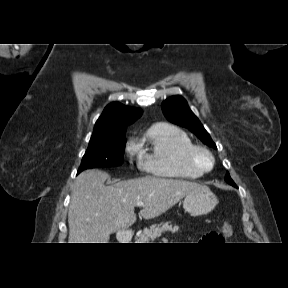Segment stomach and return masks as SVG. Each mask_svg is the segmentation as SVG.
I'll use <instances>...</instances> for the list:
<instances>
[{
  "label": "stomach",
  "instance_id": "0dacf381",
  "mask_svg": "<svg viewBox=\"0 0 288 288\" xmlns=\"http://www.w3.org/2000/svg\"><path fill=\"white\" fill-rule=\"evenodd\" d=\"M218 203L216 195L206 186L187 194L183 201L184 209L191 215L198 216L211 212ZM125 238L126 233L119 234ZM124 241V239H123Z\"/></svg>",
  "mask_w": 288,
  "mask_h": 288
}]
</instances>
